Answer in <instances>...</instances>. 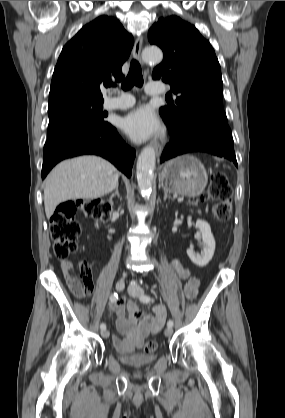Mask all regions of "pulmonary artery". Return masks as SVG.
<instances>
[{
  "instance_id": "1",
  "label": "pulmonary artery",
  "mask_w": 285,
  "mask_h": 418,
  "mask_svg": "<svg viewBox=\"0 0 285 418\" xmlns=\"http://www.w3.org/2000/svg\"><path fill=\"white\" fill-rule=\"evenodd\" d=\"M117 96L108 97L104 100L103 107L105 110H121L132 106L135 103L134 97L128 94L120 93L119 90L114 89ZM166 88L161 85L149 84L146 89L148 95L165 94Z\"/></svg>"
}]
</instances>
